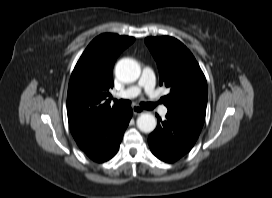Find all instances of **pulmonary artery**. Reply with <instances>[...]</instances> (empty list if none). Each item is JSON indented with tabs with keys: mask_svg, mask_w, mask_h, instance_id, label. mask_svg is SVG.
<instances>
[{
	"mask_svg": "<svg viewBox=\"0 0 272 198\" xmlns=\"http://www.w3.org/2000/svg\"><path fill=\"white\" fill-rule=\"evenodd\" d=\"M142 89L148 94H152L155 90V75L153 70L149 67H145L143 69L141 80L137 85L116 92L115 97L118 99L134 98L141 92ZM160 113L161 115H166L167 108L162 106L160 108Z\"/></svg>",
	"mask_w": 272,
	"mask_h": 198,
	"instance_id": "pulmonary-artery-1",
	"label": "pulmonary artery"
}]
</instances>
